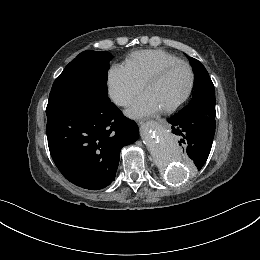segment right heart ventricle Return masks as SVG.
<instances>
[{
  "instance_id": "1",
  "label": "right heart ventricle",
  "mask_w": 260,
  "mask_h": 260,
  "mask_svg": "<svg viewBox=\"0 0 260 260\" xmlns=\"http://www.w3.org/2000/svg\"><path fill=\"white\" fill-rule=\"evenodd\" d=\"M181 61L177 56L162 50H141L132 53L125 60L129 73L141 84L160 67Z\"/></svg>"
}]
</instances>
